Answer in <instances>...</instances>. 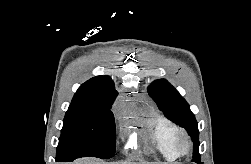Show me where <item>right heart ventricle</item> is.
Listing matches in <instances>:
<instances>
[{"instance_id": "e07e8e85", "label": "right heart ventricle", "mask_w": 251, "mask_h": 164, "mask_svg": "<svg viewBox=\"0 0 251 164\" xmlns=\"http://www.w3.org/2000/svg\"><path fill=\"white\" fill-rule=\"evenodd\" d=\"M144 124L155 149L166 160L174 161L177 156L174 154L171 144L178 131L176 125L158 111L148 113L144 118Z\"/></svg>"}]
</instances>
